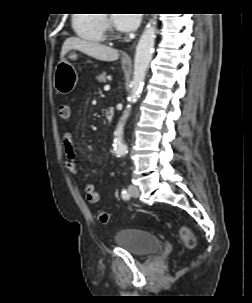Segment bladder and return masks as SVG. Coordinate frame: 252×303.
Returning <instances> with one entry per match:
<instances>
[{"label":"bladder","instance_id":"bladder-1","mask_svg":"<svg viewBox=\"0 0 252 303\" xmlns=\"http://www.w3.org/2000/svg\"><path fill=\"white\" fill-rule=\"evenodd\" d=\"M114 242L129 253L139 257H148L162 246L158 236L139 229H125L117 232L114 236Z\"/></svg>","mask_w":252,"mask_h":303}]
</instances>
